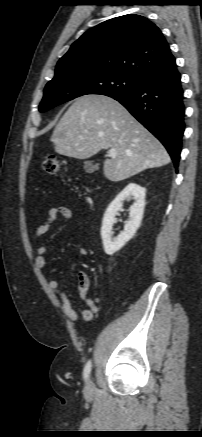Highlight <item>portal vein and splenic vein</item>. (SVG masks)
<instances>
[{
    "label": "portal vein and splenic vein",
    "mask_w": 202,
    "mask_h": 437,
    "mask_svg": "<svg viewBox=\"0 0 202 437\" xmlns=\"http://www.w3.org/2000/svg\"><path fill=\"white\" fill-rule=\"evenodd\" d=\"M108 156L114 158L116 156V150L110 149L108 152Z\"/></svg>",
    "instance_id": "obj_1"
}]
</instances>
